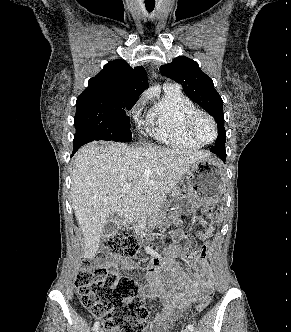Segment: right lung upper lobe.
<instances>
[{"label": "right lung upper lobe", "mask_w": 291, "mask_h": 332, "mask_svg": "<svg viewBox=\"0 0 291 332\" xmlns=\"http://www.w3.org/2000/svg\"><path fill=\"white\" fill-rule=\"evenodd\" d=\"M148 87V79L142 66L132 67L124 60L107 63L103 70L91 78L88 87L77 100L97 97H124L137 100Z\"/></svg>", "instance_id": "obj_1"}]
</instances>
